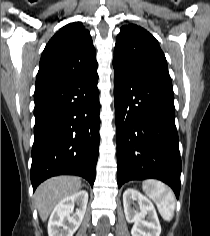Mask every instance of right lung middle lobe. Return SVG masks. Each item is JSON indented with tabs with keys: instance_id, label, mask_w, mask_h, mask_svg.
<instances>
[{
	"instance_id": "right-lung-middle-lobe-1",
	"label": "right lung middle lobe",
	"mask_w": 210,
	"mask_h": 236,
	"mask_svg": "<svg viewBox=\"0 0 210 236\" xmlns=\"http://www.w3.org/2000/svg\"><path fill=\"white\" fill-rule=\"evenodd\" d=\"M38 93H41V92H35V94H38Z\"/></svg>"
}]
</instances>
